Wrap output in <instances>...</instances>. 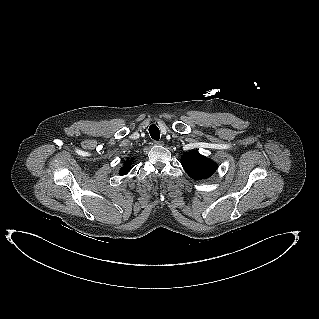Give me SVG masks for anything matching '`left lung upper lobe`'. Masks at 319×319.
Listing matches in <instances>:
<instances>
[{
  "label": "left lung upper lobe",
  "mask_w": 319,
  "mask_h": 319,
  "mask_svg": "<svg viewBox=\"0 0 319 319\" xmlns=\"http://www.w3.org/2000/svg\"><path fill=\"white\" fill-rule=\"evenodd\" d=\"M181 164L193 179L209 178L217 169V164L198 151L186 152L182 155Z\"/></svg>",
  "instance_id": "obj_1"
}]
</instances>
